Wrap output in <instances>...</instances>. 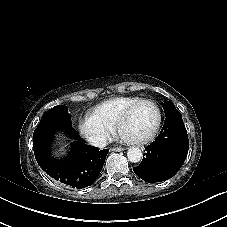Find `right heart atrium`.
<instances>
[{"instance_id":"right-heart-atrium-1","label":"right heart atrium","mask_w":227,"mask_h":227,"mask_svg":"<svg viewBox=\"0 0 227 227\" xmlns=\"http://www.w3.org/2000/svg\"><path fill=\"white\" fill-rule=\"evenodd\" d=\"M80 132L84 136L85 140L94 146L103 144L110 137V130L108 128L101 127L93 122L81 125Z\"/></svg>"}]
</instances>
